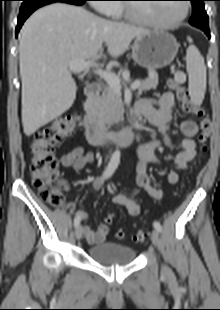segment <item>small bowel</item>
I'll use <instances>...</instances> for the list:
<instances>
[{
	"label": "small bowel",
	"mask_w": 220,
	"mask_h": 310,
	"mask_svg": "<svg viewBox=\"0 0 220 310\" xmlns=\"http://www.w3.org/2000/svg\"><path fill=\"white\" fill-rule=\"evenodd\" d=\"M174 95L172 92L164 93L158 100L142 99L139 100L134 110L138 115L156 126L162 136V141H151L141 145L138 149L139 161L137 164L136 183L143 188L153 199H161L163 189L160 185H153L147 174V166L149 164H159V160L155 155V150L161 145L167 147L178 146L181 151L175 157V169L168 173V182L176 184L180 180V173L187 169L189 163L196 156V144L194 136L198 132L197 123L194 120H184L180 129L182 137L178 140H173L169 135V125L173 119ZM95 156L92 152H84L81 147H75L67 153L60 156V163L65 167H71L74 170H79L85 165L93 163ZM93 187L100 190L103 187V179L94 177L92 179ZM112 202L116 205L124 207L128 214L137 216L140 213V206L137 199L132 198L124 193H115L112 196ZM79 216L82 219L87 218L84 211L75 213V217ZM85 239L90 244H100L105 241L108 234V226L105 223L99 224L96 231L91 227L82 226Z\"/></svg>",
	"instance_id": "obj_1"
}]
</instances>
